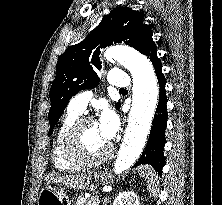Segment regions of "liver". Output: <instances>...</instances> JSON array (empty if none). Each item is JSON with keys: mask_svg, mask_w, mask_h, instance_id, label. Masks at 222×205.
Instances as JSON below:
<instances>
[{"mask_svg": "<svg viewBox=\"0 0 222 205\" xmlns=\"http://www.w3.org/2000/svg\"><path fill=\"white\" fill-rule=\"evenodd\" d=\"M92 180V173L81 174V175H64L56 176L51 179L54 183H61L67 187L74 189H86Z\"/></svg>", "mask_w": 222, "mask_h": 205, "instance_id": "obj_1", "label": "liver"}]
</instances>
